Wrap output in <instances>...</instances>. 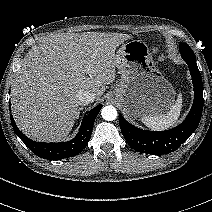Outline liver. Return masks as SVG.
Segmentation results:
<instances>
[{
  "label": "liver",
  "mask_w": 212,
  "mask_h": 212,
  "mask_svg": "<svg viewBox=\"0 0 212 212\" xmlns=\"http://www.w3.org/2000/svg\"><path fill=\"white\" fill-rule=\"evenodd\" d=\"M132 36L60 33L43 38L25 55L11 91L20 130L38 141H61L78 118L80 90L99 99L116 77L117 46Z\"/></svg>",
  "instance_id": "1"
}]
</instances>
